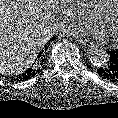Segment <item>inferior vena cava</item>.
<instances>
[{
    "label": "inferior vena cava",
    "mask_w": 118,
    "mask_h": 118,
    "mask_svg": "<svg viewBox=\"0 0 118 118\" xmlns=\"http://www.w3.org/2000/svg\"><path fill=\"white\" fill-rule=\"evenodd\" d=\"M63 29V26L62 25H56V27H55V32H60L61 30Z\"/></svg>",
    "instance_id": "602c4592"
}]
</instances>
